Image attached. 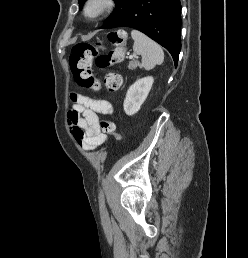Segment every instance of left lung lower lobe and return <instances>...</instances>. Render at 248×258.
Here are the masks:
<instances>
[{
  "label": "left lung lower lobe",
  "mask_w": 248,
  "mask_h": 258,
  "mask_svg": "<svg viewBox=\"0 0 248 258\" xmlns=\"http://www.w3.org/2000/svg\"><path fill=\"white\" fill-rule=\"evenodd\" d=\"M180 0H129L101 29L135 28L165 47L175 65L181 50Z\"/></svg>",
  "instance_id": "0a47b994"
}]
</instances>
